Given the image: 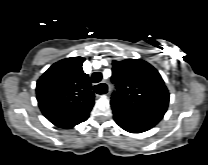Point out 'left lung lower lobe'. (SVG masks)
Masks as SVG:
<instances>
[{"label":"left lung lower lobe","instance_id":"0a47b994","mask_svg":"<svg viewBox=\"0 0 208 165\" xmlns=\"http://www.w3.org/2000/svg\"><path fill=\"white\" fill-rule=\"evenodd\" d=\"M114 120L121 128L130 133H142L152 128L142 124L132 123L117 117H114Z\"/></svg>","mask_w":208,"mask_h":165}]
</instances>
